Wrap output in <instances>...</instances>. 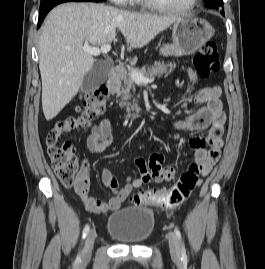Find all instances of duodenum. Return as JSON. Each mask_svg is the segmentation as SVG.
<instances>
[{
	"label": "duodenum",
	"mask_w": 265,
	"mask_h": 269,
	"mask_svg": "<svg viewBox=\"0 0 265 269\" xmlns=\"http://www.w3.org/2000/svg\"><path fill=\"white\" fill-rule=\"evenodd\" d=\"M121 78V68L119 66L113 67L108 75L107 86L109 89H114ZM142 116L140 110L133 111L127 114L128 119H137Z\"/></svg>",
	"instance_id": "410a0bca"
}]
</instances>
